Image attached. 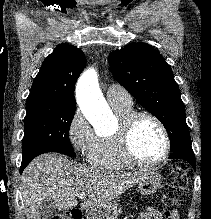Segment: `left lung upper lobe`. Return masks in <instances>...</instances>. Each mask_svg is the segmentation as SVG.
Masks as SVG:
<instances>
[{"label": "left lung upper lobe", "mask_w": 211, "mask_h": 219, "mask_svg": "<svg viewBox=\"0 0 211 219\" xmlns=\"http://www.w3.org/2000/svg\"><path fill=\"white\" fill-rule=\"evenodd\" d=\"M108 61L117 82L162 122L171 152L191 142L178 85L159 52L147 43H135L111 52Z\"/></svg>", "instance_id": "5c2ea615"}]
</instances>
